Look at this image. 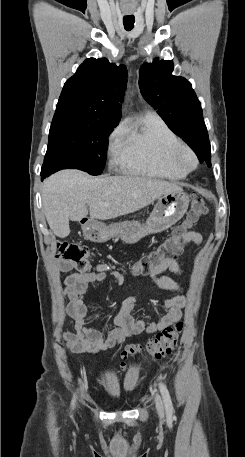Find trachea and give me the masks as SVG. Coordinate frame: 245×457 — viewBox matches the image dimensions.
I'll return each instance as SVG.
<instances>
[{
  "mask_svg": "<svg viewBox=\"0 0 245 457\" xmlns=\"http://www.w3.org/2000/svg\"><path fill=\"white\" fill-rule=\"evenodd\" d=\"M134 15H126L123 17V25L125 30L128 32L133 29L134 27Z\"/></svg>",
  "mask_w": 245,
  "mask_h": 457,
  "instance_id": "1",
  "label": "trachea"
}]
</instances>
